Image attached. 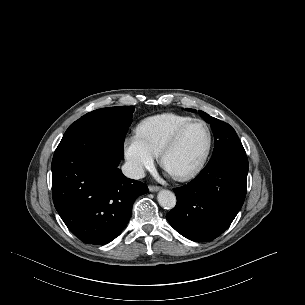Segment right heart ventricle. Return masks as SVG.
<instances>
[{"instance_id": "1", "label": "right heart ventricle", "mask_w": 305, "mask_h": 305, "mask_svg": "<svg viewBox=\"0 0 305 305\" xmlns=\"http://www.w3.org/2000/svg\"><path fill=\"white\" fill-rule=\"evenodd\" d=\"M192 119L175 113L152 116L139 123L137 136L154 156H159L177 129Z\"/></svg>"}]
</instances>
